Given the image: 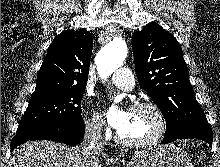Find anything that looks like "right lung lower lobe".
Masks as SVG:
<instances>
[{
  "mask_svg": "<svg viewBox=\"0 0 220 167\" xmlns=\"http://www.w3.org/2000/svg\"><path fill=\"white\" fill-rule=\"evenodd\" d=\"M85 133V125L61 129L44 128L37 131L16 134L11 142V150L29 140H53L73 145L80 142Z\"/></svg>",
  "mask_w": 220,
  "mask_h": 167,
  "instance_id": "obj_1",
  "label": "right lung lower lobe"
}]
</instances>
